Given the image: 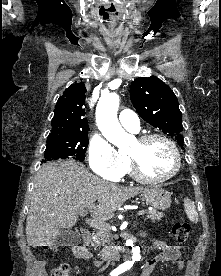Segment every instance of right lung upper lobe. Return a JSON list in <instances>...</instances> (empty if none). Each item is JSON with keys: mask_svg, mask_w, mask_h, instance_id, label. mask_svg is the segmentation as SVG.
Listing matches in <instances>:
<instances>
[{"mask_svg": "<svg viewBox=\"0 0 221 276\" xmlns=\"http://www.w3.org/2000/svg\"><path fill=\"white\" fill-rule=\"evenodd\" d=\"M86 87L75 82L59 97L52 119V132L48 137H67L88 134V121L85 116Z\"/></svg>", "mask_w": 221, "mask_h": 276, "instance_id": "obj_1", "label": "right lung upper lobe"}]
</instances>
